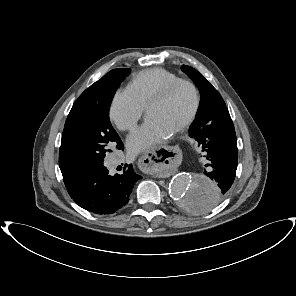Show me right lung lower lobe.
<instances>
[{"label": "right lung lower lobe", "mask_w": 296, "mask_h": 296, "mask_svg": "<svg viewBox=\"0 0 296 296\" xmlns=\"http://www.w3.org/2000/svg\"><path fill=\"white\" fill-rule=\"evenodd\" d=\"M142 177L130 165L123 174L109 175L103 162L63 177L73 201L95 214H112L129 201L133 185Z\"/></svg>", "instance_id": "right-lung-lower-lobe-1"}]
</instances>
